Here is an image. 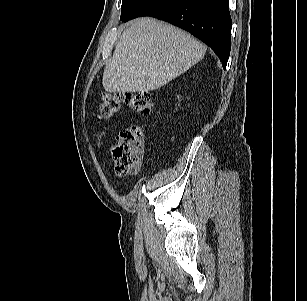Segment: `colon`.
<instances>
[{"mask_svg":"<svg viewBox=\"0 0 307 301\" xmlns=\"http://www.w3.org/2000/svg\"><path fill=\"white\" fill-rule=\"evenodd\" d=\"M123 104L138 114H148L154 105V100L149 92H108L102 97L99 118L110 120L121 110ZM112 154L118 175H138L143 166V128L134 125L122 130L116 137Z\"/></svg>","mask_w":307,"mask_h":301,"instance_id":"1","label":"colon"}]
</instances>
